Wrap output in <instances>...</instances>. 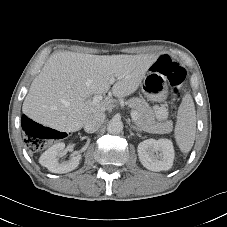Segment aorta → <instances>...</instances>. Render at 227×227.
Segmentation results:
<instances>
[{"instance_id": "obj_1", "label": "aorta", "mask_w": 227, "mask_h": 227, "mask_svg": "<svg viewBox=\"0 0 227 227\" xmlns=\"http://www.w3.org/2000/svg\"><path fill=\"white\" fill-rule=\"evenodd\" d=\"M123 130V122L120 119L113 118L107 124V131L110 134H119Z\"/></svg>"}]
</instances>
